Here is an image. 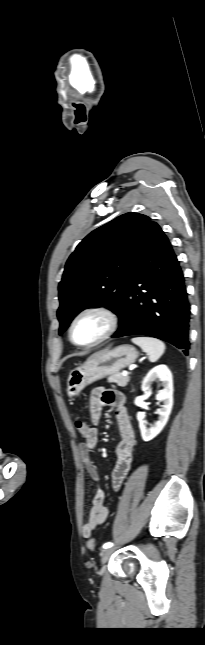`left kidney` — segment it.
<instances>
[{"mask_svg":"<svg viewBox=\"0 0 205 645\" xmlns=\"http://www.w3.org/2000/svg\"><path fill=\"white\" fill-rule=\"evenodd\" d=\"M158 379L163 383V390L157 394V399L163 402L162 407L157 411V414L159 415L158 421L148 428L147 422L144 419L145 414L142 412L137 413V420L139 422L141 436L144 441L152 440L162 431L168 422L173 406V379L172 374L166 365H158L148 372L142 382V391L148 392L152 382Z\"/></svg>","mask_w":205,"mask_h":645,"instance_id":"5707ae66","label":"left kidney"}]
</instances>
